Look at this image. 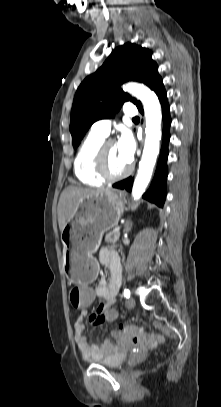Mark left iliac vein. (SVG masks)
<instances>
[{"label": "left iliac vein", "instance_id": "4c4485c4", "mask_svg": "<svg viewBox=\"0 0 221 407\" xmlns=\"http://www.w3.org/2000/svg\"><path fill=\"white\" fill-rule=\"evenodd\" d=\"M126 306H127V308H129V309L134 308V306H135V299H134L133 297L128 298V299L126 300Z\"/></svg>", "mask_w": 221, "mask_h": 407}]
</instances>
